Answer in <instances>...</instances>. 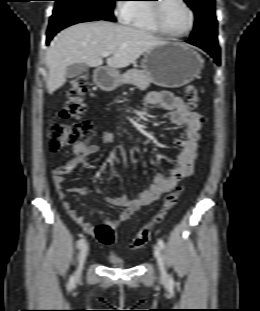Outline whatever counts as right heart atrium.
Listing matches in <instances>:
<instances>
[{"instance_id":"d8ad5b80","label":"right heart atrium","mask_w":260,"mask_h":311,"mask_svg":"<svg viewBox=\"0 0 260 311\" xmlns=\"http://www.w3.org/2000/svg\"><path fill=\"white\" fill-rule=\"evenodd\" d=\"M128 10V6L126 3H124L123 0H119L116 4V15L121 19L124 20L125 14Z\"/></svg>"}]
</instances>
